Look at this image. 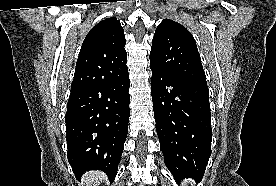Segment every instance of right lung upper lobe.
I'll use <instances>...</instances> for the list:
<instances>
[{
  "mask_svg": "<svg viewBox=\"0 0 276 186\" xmlns=\"http://www.w3.org/2000/svg\"><path fill=\"white\" fill-rule=\"evenodd\" d=\"M125 35L116 17L102 20L85 37L71 90L115 82L128 75Z\"/></svg>",
  "mask_w": 276,
  "mask_h": 186,
  "instance_id": "cb5924a9",
  "label": "right lung upper lobe"
}]
</instances>
